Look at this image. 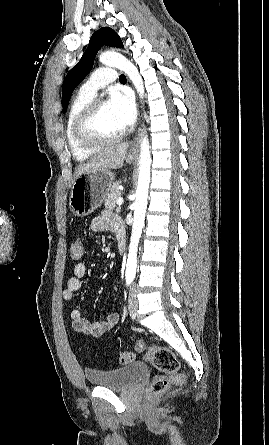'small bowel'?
I'll return each mask as SVG.
<instances>
[{
    "label": "small bowel",
    "instance_id": "c3829d8e",
    "mask_svg": "<svg viewBox=\"0 0 269 445\" xmlns=\"http://www.w3.org/2000/svg\"><path fill=\"white\" fill-rule=\"evenodd\" d=\"M91 229L95 232L112 231L117 235L120 231H124V226L112 212L106 210L92 220ZM86 273L87 265L85 263H78L74 266L73 276L68 279L67 287L62 294L65 301H73L76 293L84 289ZM117 289V285L112 286L114 293L117 292ZM70 318L74 331L99 337L113 328L119 322L120 317L117 312H111L104 320L90 322L83 317L79 309L75 308L70 311Z\"/></svg>",
    "mask_w": 269,
    "mask_h": 445
}]
</instances>
